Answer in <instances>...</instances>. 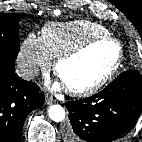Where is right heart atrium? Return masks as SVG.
Segmentation results:
<instances>
[{"mask_svg": "<svg viewBox=\"0 0 142 142\" xmlns=\"http://www.w3.org/2000/svg\"><path fill=\"white\" fill-rule=\"evenodd\" d=\"M18 65L26 79H31L39 70H47L50 67L51 56L40 37L30 34L23 40L18 53Z\"/></svg>", "mask_w": 142, "mask_h": 142, "instance_id": "d8ad5b80", "label": "right heart atrium"}]
</instances>
